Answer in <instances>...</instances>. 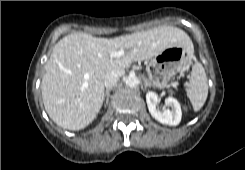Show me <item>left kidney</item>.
<instances>
[{"instance_id": "5707ae66", "label": "left kidney", "mask_w": 245, "mask_h": 170, "mask_svg": "<svg viewBox=\"0 0 245 170\" xmlns=\"http://www.w3.org/2000/svg\"><path fill=\"white\" fill-rule=\"evenodd\" d=\"M160 99L155 92L149 91L146 94V102L151 116L162 124L176 126L180 123L182 111L180 103L173 97H168L165 101L166 105L171 109L160 111L157 104Z\"/></svg>"}]
</instances>
